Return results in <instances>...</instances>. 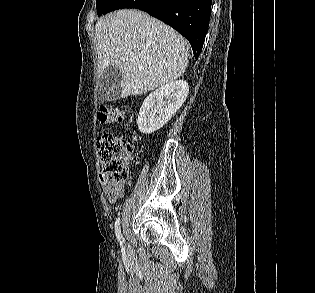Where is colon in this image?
I'll use <instances>...</instances> for the list:
<instances>
[{
    "mask_svg": "<svg viewBox=\"0 0 315 293\" xmlns=\"http://www.w3.org/2000/svg\"><path fill=\"white\" fill-rule=\"evenodd\" d=\"M128 114L126 109L102 107L97 112V121L101 125L121 122ZM134 145L135 138L125 135L104 134L97 138V157L103 183L124 184L127 181Z\"/></svg>",
    "mask_w": 315,
    "mask_h": 293,
    "instance_id": "1",
    "label": "colon"
}]
</instances>
